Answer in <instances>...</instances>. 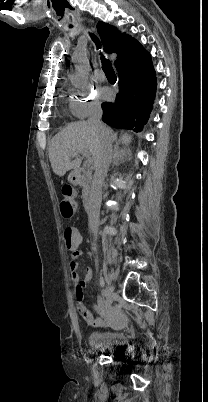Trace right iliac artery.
Masks as SVG:
<instances>
[{"label":"right iliac artery","mask_w":208,"mask_h":402,"mask_svg":"<svg viewBox=\"0 0 208 402\" xmlns=\"http://www.w3.org/2000/svg\"><path fill=\"white\" fill-rule=\"evenodd\" d=\"M102 295L108 299V290L107 289H102Z\"/></svg>","instance_id":"obj_1"}]
</instances>
